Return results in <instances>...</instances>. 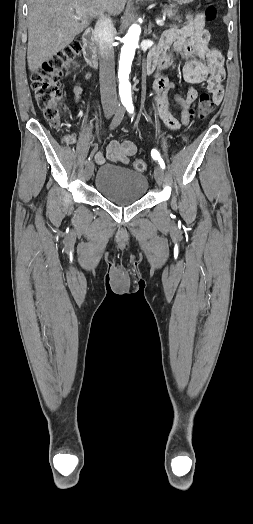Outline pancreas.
Segmentation results:
<instances>
[{
  "mask_svg": "<svg viewBox=\"0 0 253 524\" xmlns=\"http://www.w3.org/2000/svg\"><path fill=\"white\" fill-rule=\"evenodd\" d=\"M177 9L174 6H167L165 7L163 14L167 15L169 18H174L177 21H181L180 17L178 16Z\"/></svg>",
  "mask_w": 253,
  "mask_h": 524,
  "instance_id": "pancreas-1",
  "label": "pancreas"
}]
</instances>
